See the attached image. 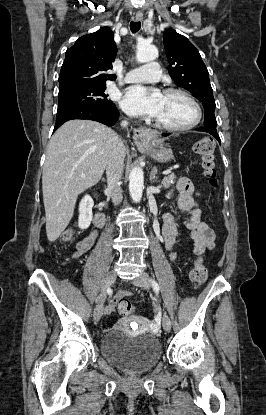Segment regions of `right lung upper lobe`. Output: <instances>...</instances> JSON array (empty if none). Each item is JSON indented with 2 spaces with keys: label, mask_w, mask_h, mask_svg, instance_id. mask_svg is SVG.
I'll list each match as a JSON object with an SVG mask.
<instances>
[{
  "label": "right lung upper lobe",
  "mask_w": 266,
  "mask_h": 415,
  "mask_svg": "<svg viewBox=\"0 0 266 415\" xmlns=\"http://www.w3.org/2000/svg\"><path fill=\"white\" fill-rule=\"evenodd\" d=\"M117 49L114 34L108 27L80 37L66 51L59 75V93L72 89L105 85L115 75L105 74L112 69Z\"/></svg>",
  "instance_id": "right-lung-upper-lobe-1"
}]
</instances>
